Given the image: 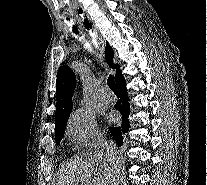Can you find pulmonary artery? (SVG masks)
Instances as JSON below:
<instances>
[{"label":"pulmonary artery","mask_w":207,"mask_h":185,"mask_svg":"<svg viewBox=\"0 0 207 185\" xmlns=\"http://www.w3.org/2000/svg\"><path fill=\"white\" fill-rule=\"evenodd\" d=\"M98 100L103 103H110L113 100L112 93L100 89L98 92Z\"/></svg>","instance_id":"1"}]
</instances>
